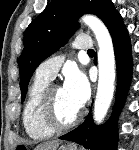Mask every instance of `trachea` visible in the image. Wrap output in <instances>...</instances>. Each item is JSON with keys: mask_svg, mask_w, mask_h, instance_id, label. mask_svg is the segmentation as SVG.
Segmentation results:
<instances>
[{"mask_svg": "<svg viewBox=\"0 0 139 150\" xmlns=\"http://www.w3.org/2000/svg\"><path fill=\"white\" fill-rule=\"evenodd\" d=\"M88 53H94V50L90 49L88 50Z\"/></svg>", "mask_w": 139, "mask_h": 150, "instance_id": "1", "label": "trachea"}]
</instances>
